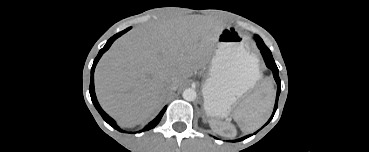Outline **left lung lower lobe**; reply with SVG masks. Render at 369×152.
Returning <instances> with one entry per match:
<instances>
[{
	"label": "left lung lower lobe",
	"mask_w": 369,
	"mask_h": 152,
	"mask_svg": "<svg viewBox=\"0 0 369 152\" xmlns=\"http://www.w3.org/2000/svg\"><path fill=\"white\" fill-rule=\"evenodd\" d=\"M255 41L257 42V46H258V48L260 49V51L262 53V56L264 58V61H265L266 65H267V67L270 68L273 71V76H274V78H275V80L277 82V85H278L275 107H274L273 114H272L271 118L269 119V121H270L273 118V116L275 114V111L277 109L278 98H279V94H280V90H281V81H280V78H279V75H278V68H277V66L275 64V61H274V59L272 57V54H271L270 50L266 47V45L264 44L263 40L259 36H255ZM249 136H251V135H249ZM249 136H246L244 138H241V139H239L237 141L246 139Z\"/></svg>",
	"instance_id": "0a47b994"
}]
</instances>
